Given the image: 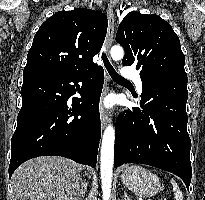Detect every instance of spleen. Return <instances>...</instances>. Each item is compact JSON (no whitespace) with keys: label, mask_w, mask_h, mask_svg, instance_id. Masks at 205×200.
<instances>
[{"label":"spleen","mask_w":205,"mask_h":200,"mask_svg":"<svg viewBox=\"0 0 205 200\" xmlns=\"http://www.w3.org/2000/svg\"><path fill=\"white\" fill-rule=\"evenodd\" d=\"M171 184L173 186V192H174V199L175 200H183V193L179 189V186L177 185L176 181L171 179Z\"/></svg>","instance_id":"3e777b00"}]
</instances>
